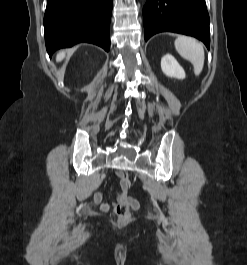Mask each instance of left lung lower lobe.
<instances>
[{"label":"left lung lower lobe","mask_w":247,"mask_h":265,"mask_svg":"<svg viewBox=\"0 0 247 265\" xmlns=\"http://www.w3.org/2000/svg\"><path fill=\"white\" fill-rule=\"evenodd\" d=\"M145 41L169 31L193 36L210 46L209 15L205 0H147L143 8Z\"/></svg>","instance_id":"1"}]
</instances>
